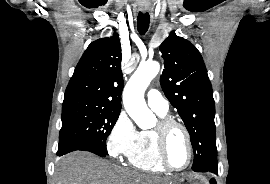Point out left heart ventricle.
<instances>
[{"mask_svg":"<svg viewBox=\"0 0 270 184\" xmlns=\"http://www.w3.org/2000/svg\"><path fill=\"white\" fill-rule=\"evenodd\" d=\"M167 159L176 167H183L188 160L186 138L180 129H173L167 142Z\"/></svg>","mask_w":270,"mask_h":184,"instance_id":"obj_1","label":"left heart ventricle"}]
</instances>
